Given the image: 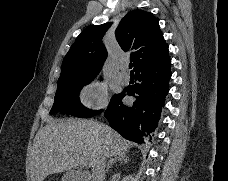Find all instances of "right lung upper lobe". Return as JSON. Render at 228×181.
<instances>
[{
    "mask_svg": "<svg viewBox=\"0 0 228 181\" xmlns=\"http://www.w3.org/2000/svg\"><path fill=\"white\" fill-rule=\"evenodd\" d=\"M111 24L90 26L81 32L63 60L58 84L94 79L98 75L107 58L102 38ZM115 35L122 50L131 51L130 61L134 62V68L168 46L158 19L143 10L127 13Z\"/></svg>",
    "mask_w": 228,
    "mask_h": 181,
    "instance_id": "obj_1",
    "label": "right lung upper lobe"
}]
</instances>
